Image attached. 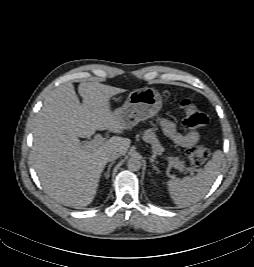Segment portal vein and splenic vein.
Returning a JSON list of instances; mask_svg holds the SVG:
<instances>
[{
    "mask_svg": "<svg viewBox=\"0 0 254 267\" xmlns=\"http://www.w3.org/2000/svg\"><path fill=\"white\" fill-rule=\"evenodd\" d=\"M104 142H105V139L102 137V135H101V134H96V135L94 136V139H93V140H91V141H86L84 145H85L86 147H96V146H99V145L103 144ZM164 159H165L166 161H168V163H169L172 167H174L175 169H178V166L174 163V161H173L172 158H170V157H165Z\"/></svg>",
    "mask_w": 254,
    "mask_h": 267,
    "instance_id": "18ae733b",
    "label": "portal vein and splenic vein"
}]
</instances>
